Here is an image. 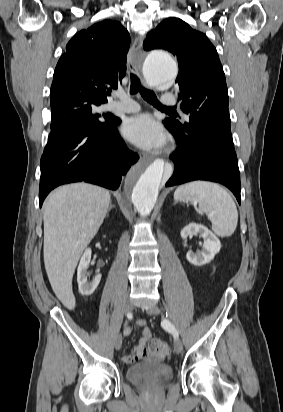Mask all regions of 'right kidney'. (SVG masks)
<instances>
[{
  "mask_svg": "<svg viewBox=\"0 0 283 412\" xmlns=\"http://www.w3.org/2000/svg\"><path fill=\"white\" fill-rule=\"evenodd\" d=\"M91 253L92 251L90 248H87L85 250L84 254L81 257V260H80V263L77 269L78 288H79V292L83 296H89L93 294L101 281V274H97L91 282L87 280V274H88L87 269L90 264Z\"/></svg>",
  "mask_w": 283,
  "mask_h": 412,
  "instance_id": "obj_1",
  "label": "right kidney"
}]
</instances>
